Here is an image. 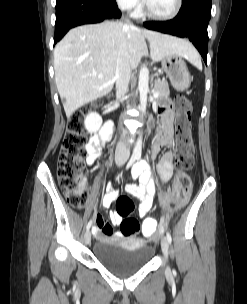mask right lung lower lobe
Segmentation results:
<instances>
[{
	"label": "right lung lower lobe",
	"instance_id": "1",
	"mask_svg": "<svg viewBox=\"0 0 247 304\" xmlns=\"http://www.w3.org/2000/svg\"><path fill=\"white\" fill-rule=\"evenodd\" d=\"M119 17L115 0H57L54 44L75 26Z\"/></svg>",
	"mask_w": 247,
	"mask_h": 304
}]
</instances>
